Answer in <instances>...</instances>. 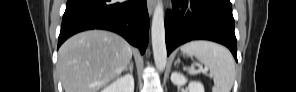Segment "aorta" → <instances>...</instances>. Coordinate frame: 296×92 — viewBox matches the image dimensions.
<instances>
[{
  "instance_id": "762f6f07",
  "label": "aorta",
  "mask_w": 296,
  "mask_h": 92,
  "mask_svg": "<svg viewBox=\"0 0 296 92\" xmlns=\"http://www.w3.org/2000/svg\"><path fill=\"white\" fill-rule=\"evenodd\" d=\"M151 36L156 68L159 71H163L166 67L167 50L165 44L164 10L161 0H158L153 13Z\"/></svg>"
}]
</instances>
